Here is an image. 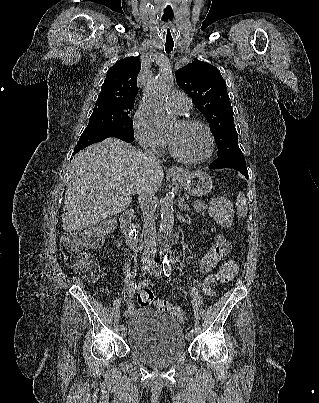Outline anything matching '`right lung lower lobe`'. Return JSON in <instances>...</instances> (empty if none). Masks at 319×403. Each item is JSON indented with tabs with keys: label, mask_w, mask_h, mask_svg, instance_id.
<instances>
[{
	"label": "right lung lower lobe",
	"mask_w": 319,
	"mask_h": 403,
	"mask_svg": "<svg viewBox=\"0 0 319 403\" xmlns=\"http://www.w3.org/2000/svg\"><path fill=\"white\" fill-rule=\"evenodd\" d=\"M133 136L134 133L117 126L87 127L75 146L74 153L79 152L81 149L93 143L103 141L108 137H116L125 142H132L134 140Z\"/></svg>",
	"instance_id": "right-lung-lower-lobe-1"
}]
</instances>
